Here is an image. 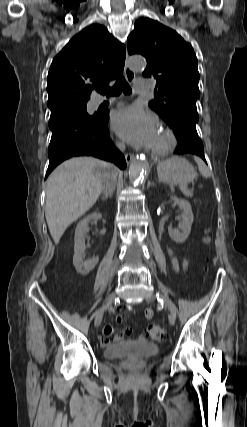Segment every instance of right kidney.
<instances>
[{
  "mask_svg": "<svg viewBox=\"0 0 247 427\" xmlns=\"http://www.w3.org/2000/svg\"><path fill=\"white\" fill-rule=\"evenodd\" d=\"M102 218L100 213H92L81 220L75 230L74 238V256L73 264L76 271L81 275H87L97 265L99 258L93 257L89 260H84L83 254L85 251V235L89 231V222L91 220H99Z\"/></svg>",
  "mask_w": 247,
  "mask_h": 427,
  "instance_id": "1",
  "label": "right kidney"
}]
</instances>
